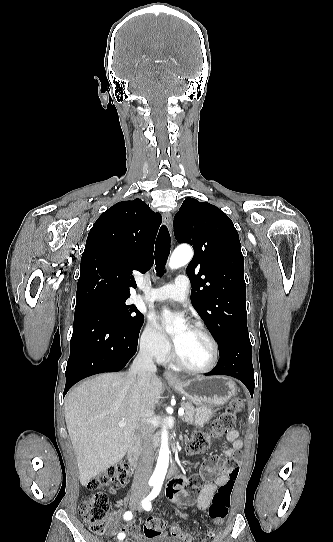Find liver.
Returning <instances> with one entry per match:
<instances>
[{"label": "liver", "instance_id": "6515ba94", "mask_svg": "<svg viewBox=\"0 0 333 542\" xmlns=\"http://www.w3.org/2000/svg\"><path fill=\"white\" fill-rule=\"evenodd\" d=\"M147 392L142 396L134 372H120L96 376L68 394L65 422L82 486L124 458L136 428L152 416L144 412L145 400H151V410L159 404L161 380L151 378ZM121 420L126 426H118Z\"/></svg>", "mask_w": 333, "mask_h": 542}]
</instances>
